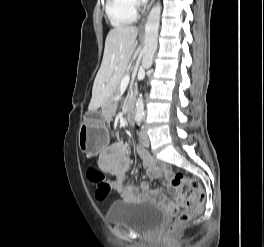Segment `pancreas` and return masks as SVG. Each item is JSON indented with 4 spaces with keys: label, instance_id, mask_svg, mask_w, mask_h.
Returning a JSON list of instances; mask_svg holds the SVG:
<instances>
[{
    "label": "pancreas",
    "instance_id": "obj_1",
    "mask_svg": "<svg viewBox=\"0 0 264 247\" xmlns=\"http://www.w3.org/2000/svg\"><path fill=\"white\" fill-rule=\"evenodd\" d=\"M126 75L123 76V78L125 77ZM119 90H120V82L117 84L115 90H114V97H116L118 94H119Z\"/></svg>",
    "mask_w": 264,
    "mask_h": 247
}]
</instances>
